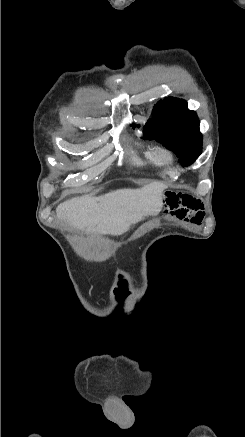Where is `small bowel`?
I'll list each match as a JSON object with an SVG mask.
<instances>
[{
    "instance_id": "obj_1",
    "label": "small bowel",
    "mask_w": 245,
    "mask_h": 437,
    "mask_svg": "<svg viewBox=\"0 0 245 437\" xmlns=\"http://www.w3.org/2000/svg\"><path fill=\"white\" fill-rule=\"evenodd\" d=\"M163 212L187 222L199 224L203 219V205L200 200L180 192H168L165 196Z\"/></svg>"
}]
</instances>
